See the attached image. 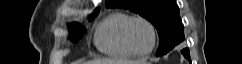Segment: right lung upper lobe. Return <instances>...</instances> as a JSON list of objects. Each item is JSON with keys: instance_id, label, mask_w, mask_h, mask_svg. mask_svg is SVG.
Listing matches in <instances>:
<instances>
[{"instance_id": "right-lung-upper-lobe-1", "label": "right lung upper lobe", "mask_w": 242, "mask_h": 64, "mask_svg": "<svg viewBox=\"0 0 242 64\" xmlns=\"http://www.w3.org/2000/svg\"><path fill=\"white\" fill-rule=\"evenodd\" d=\"M98 11H99V9L97 8V9H95V11H94V12H98ZM94 12H93V13H94ZM74 24H75V23H74Z\"/></svg>"}]
</instances>
